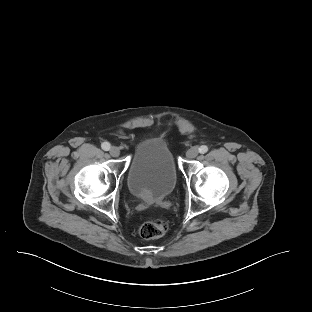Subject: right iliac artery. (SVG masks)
<instances>
[{"label": "right iliac artery", "mask_w": 312, "mask_h": 312, "mask_svg": "<svg viewBox=\"0 0 312 312\" xmlns=\"http://www.w3.org/2000/svg\"><path fill=\"white\" fill-rule=\"evenodd\" d=\"M101 147H102L103 150L108 151L110 149V143L103 142Z\"/></svg>", "instance_id": "right-iliac-artery-1"}]
</instances>
